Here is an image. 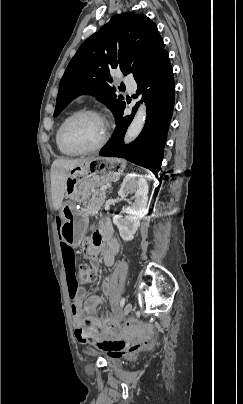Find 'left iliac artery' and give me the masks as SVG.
<instances>
[{"label":"left iliac artery","mask_w":243,"mask_h":404,"mask_svg":"<svg viewBox=\"0 0 243 404\" xmlns=\"http://www.w3.org/2000/svg\"><path fill=\"white\" fill-rule=\"evenodd\" d=\"M125 302H126V298L123 297V298L121 299V301H120V307H123L124 304H125Z\"/></svg>","instance_id":"1"}]
</instances>
